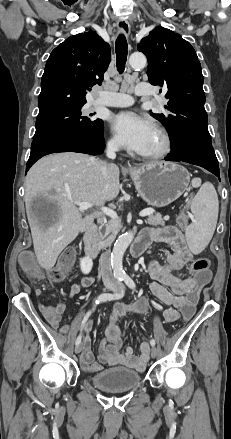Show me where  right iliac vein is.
Wrapping results in <instances>:
<instances>
[{"mask_svg":"<svg viewBox=\"0 0 231 439\" xmlns=\"http://www.w3.org/2000/svg\"><path fill=\"white\" fill-rule=\"evenodd\" d=\"M106 289H110V290H115V287L114 286H111V285H107L106 286ZM81 350H82V344H78V345H76V347H75V353L76 354H79L80 352H81Z\"/></svg>","mask_w":231,"mask_h":439,"instance_id":"63e3f726","label":"right iliac vein"}]
</instances>
